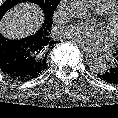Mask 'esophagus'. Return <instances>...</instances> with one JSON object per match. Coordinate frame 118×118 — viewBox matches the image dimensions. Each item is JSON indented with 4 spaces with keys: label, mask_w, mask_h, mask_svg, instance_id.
I'll return each mask as SVG.
<instances>
[{
    "label": "esophagus",
    "mask_w": 118,
    "mask_h": 118,
    "mask_svg": "<svg viewBox=\"0 0 118 118\" xmlns=\"http://www.w3.org/2000/svg\"><path fill=\"white\" fill-rule=\"evenodd\" d=\"M83 52L88 57H93L94 56L93 53H91L89 50L83 49Z\"/></svg>",
    "instance_id": "34e87169"
}]
</instances>
